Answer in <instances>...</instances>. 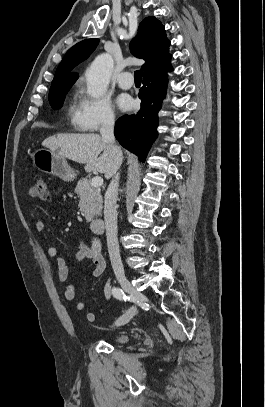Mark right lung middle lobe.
Returning <instances> with one entry per match:
<instances>
[{
    "mask_svg": "<svg viewBox=\"0 0 265 407\" xmlns=\"http://www.w3.org/2000/svg\"><path fill=\"white\" fill-rule=\"evenodd\" d=\"M74 83H60L51 86L49 91V102L53 109H60L63 105L66 93Z\"/></svg>",
    "mask_w": 265,
    "mask_h": 407,
    "instance_id": "1",
    "label": "right lung middle lobe"
}]
</instances>
